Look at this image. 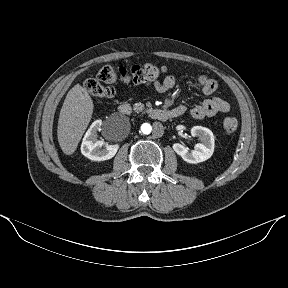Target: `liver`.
<instances>
[{"mask_svg":"<svg viewBox=\"0 0 288 288\" xmlns=\"http://www.w3.org/2000/svg\"><path fill=\"white\" fill-rule=\"evenodd\" d=\"M93 109L90 95L80 84L69 90L57 126L58 142L64 154L72 155L76 151L91 120Z\"/></svg>","mask_w":288,"mask_h":288,"instance_id":"1","label":"liver"}]
</instances>
